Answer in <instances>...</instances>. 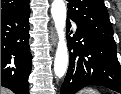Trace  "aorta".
I'll list each match as a JSON object with an SVG mask.
<instances>
[{"instance_id":"obj_1","label":"aorta","mask_w":121,"mask_h":94,"mask_svg":"<svg viewBox=\"0 0 121 94\" xmlns=\"http://www.w3.org/2000/svg\"><path fill=\"white\" fill-rule=\"evenodd\" d=\"M51 15L59 37L54 60V72L58 78L64 76L68 67V49L65 42L66 5L64 0H53Z\"/></svg>"}]
</instances>
